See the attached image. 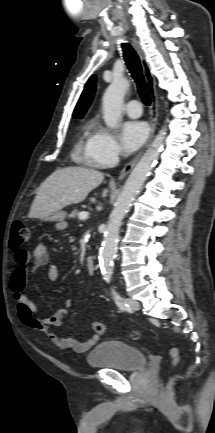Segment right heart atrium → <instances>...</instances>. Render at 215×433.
Listing matches in <instances>:
<instances>
[{"label":"right heart atrium","mask_w":215,"mask_h":433,"mask_svg":"<svg viewBox=\"0 0 215 433\" xmlns=\"http://www.w3.org/2000/svg\"><path fill=\"white\" fill-rule=\"evenodd\" d=\"M120 145L115 135L105 127L96 130L93 157L100 166H111L119 158Z\"/></svg>","instance_id":"1"}]
</instances>
